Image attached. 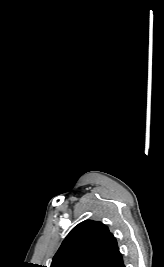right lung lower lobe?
I'll return each mask as SVG.
<instances>
[{
  "label": "right lung lower lobe",
  "mask_w": 164,
  "mask_h": 267,
  "mask_svg": "<svg viewBox=\"0 0 164 267\" xmlns=\"http://www.w3.org/2000/svg\"><path fill=\"white\" fill-rule=\"evenodd\" d=\"M100 267H125L120 252L115 253L111 258L106 260Z\"/></svg>",
  "instance_id": "right-lung-lower-lobe-1"
}]
</instances>
